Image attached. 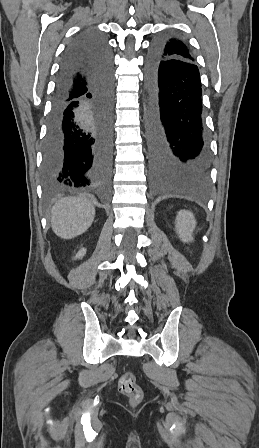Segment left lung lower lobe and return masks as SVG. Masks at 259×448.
Listing matches in <instances>:
<instances>
[{
  "instance_id": "1",
  "label": "left lung lower lobe",
  "mask_w": 259,
  "mask_h": 448,
  "mask_svg": "<svg viewBox=\"0 0 259 448\" xmlns=\"http://www.w3.org/2000/svg\"><path fill=\"white\" fill-rule=\"evenodd\" d=\"M165 37L153 41L146 68L152 181L161 191H200L211 162L200 74L195 63L157 56Z\"/></svg>"
}]
</instances>
